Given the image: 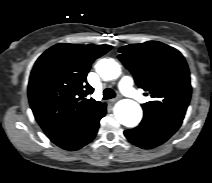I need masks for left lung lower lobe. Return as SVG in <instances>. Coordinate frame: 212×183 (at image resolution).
Returning <instances> with one entry per match:
<instances>
[{
    "label": "left lung lower lobe",
    "instance_id": "left-lung-lower-lobe-1",
    "mask_svg": "<svg viewBox=\"0 0 212 183\" xmlns=\"http://www.w3.org/2000/svg\"><path fill=\"white\" fill-rule=\"evenodd\" d=\"M181 124L144 114L139 126L124 132L126 138L134 145L149 149L161 145L168 140Z\"/></svg>",
    "mask_w": 212,
    "mask_h": 183
}]
</instances>
